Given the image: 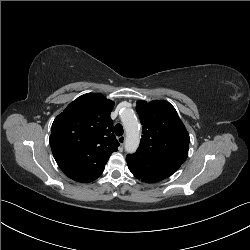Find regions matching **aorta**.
Returning a JSON list of instances; mask_svg holds the SVG:
<instances>
[{"label":"aorta","mask_w":250,"mask_h":250,"mask_svg":"<svg viewBox=\"0 0 250 250\" xmlns=\"http://www.w3.org/2000/svg\"><path fill=\"white\" fill-rule=\"evenodd\" d=\"M121 120L126 131L125 150L134 153L140 143V125L133 110L125 109L121 113Z\"/></svg>","instance_id":"762f6f07"}]
</instances>
